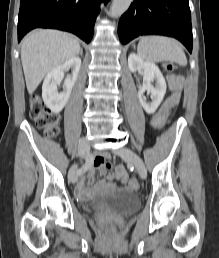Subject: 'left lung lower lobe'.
I'll return each mask as SVG.
<instances>
[{"label": "left lung lower lobe", "instance_id": "0a47b994", "mask_svg": "<svg viewBox=\"0 0 219 258\" xmlns=\"http://www.w3.org/2000/svg\"><path fill=\"white\" fill-rule=\"evenodd\" d=\"M153 34L174 37L191 53L193 37L188 0H134L118 24L121 43Z\"/></svg>", "mask_w": 219, "mask_h": 258}]
</instances>
